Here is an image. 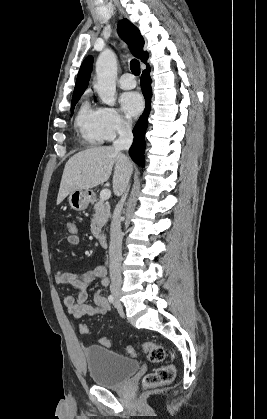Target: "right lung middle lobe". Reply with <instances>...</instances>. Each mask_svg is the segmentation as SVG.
<instances>
[{"mask_svg": "<svg viewBox=\"0 0 267 419\" xmlns=\"http://www.w3.org/2000/svg\"><path fill=\"white\" fill-rule=\"evenodd\" d=\"M81 95L72 97V104H71V112L73 113L74 107L78 100L80 99Z\"/></svg>", "mask_w": 267, "mask_h": 419, "instance_id": "obj_1", "label": "right lung middle lobe"}]
</instances>
